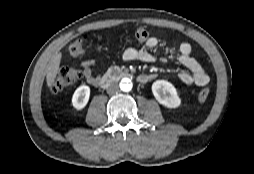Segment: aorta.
Returning <instances> with one entry per match:
<instances>
[{
	"instance_id": "obj_1",
	"label": "aorta",
	"mask_w": 254,
	"mask_h": 174,
	"mask_svg": "<svg viewBox=\"0 0 254 174\" xmlns=\"http://www.w3.org/2000/svg\"><path fill=\"white\" fill-rule=\"evenodd\" d=\"M120 89L123 91V92H129L131 89H132V82L129 78H123L121 81H120Z\"/></svg>"
}]
</instances>
